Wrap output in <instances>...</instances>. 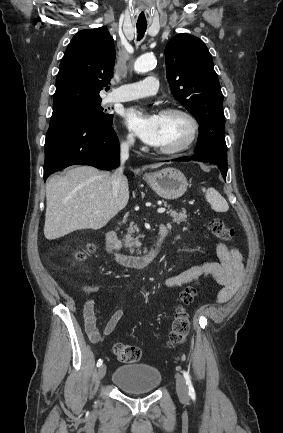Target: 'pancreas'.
<instances>
[{"label": "pancreas", "instance_id": "cf45deb5", "mask_svg": "<svg viewBox=\"0 0 283 433\" xmlns=\"http://www.w3.org/2000/svg\"><path fill=\"white\" fill-rule=\"evenodd\" d=\"M164 202L165 206H171V204H167L166 200H162ZM168 214H170V217L173 219V223H184L186 221L188 214H186L185 208H182L181 212H177V210H172V208H169L167 210ZM134 233H139V229L137 227H129L127 229V235L125 237V243L127 247H131L130 253H134V249L132 247H136L137 249V255H141L140 247H141V239H144L143 235H139V237H134ZM147 249H144V253H146Z\"/></svg>", "mask_w": 283, "mask_h": 433}]
</instances>
